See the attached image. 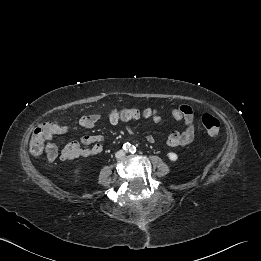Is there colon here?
<instances>
[{
  "label": "colon",
  "mask_w": 261,
  "mask_h": 261,
  "mask_svg": "<svg viewBox=\"0 0 261 261\" xmlns=\"http://www.w3.org/2000/svg\"><path fill=\"white\" fill-rule=\"evenodd\" d=\"M153 112L150 109L139 110L135 108H125L119 110H112L108 114V118L112 121L117 120H133L141 116H150ZM202 125L211 138H215L219 134L220 123L219 120L211 114H204L201 117ZM48 123L40 124L33 132L30 139V151L34 155H40L43 152L45 142L47 141L49 128Z\"/></svg>",
  "instance_id": "1"
}]
</instances>
